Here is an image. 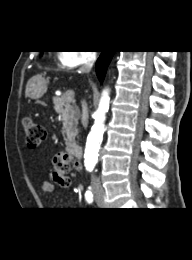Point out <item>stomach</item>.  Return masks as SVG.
Wrapping results in <instances>:
<instances>
[{
    "label": "stomach",
    "mask_w": 192,
    "mask_h": 260,
    "mask_svg": "<svg viewBox=\"0 0 192 260\" xmlns=\"http://www.w3.org/2000/svg\"><path fill=\"white\" fill-rule=\"evenodd\" d=\"M26 89L28 97L39 99L47 90V81L41 76H35L29 80Z\"/></svg>",
    "instance_id": "0dacf381"
}]
</instances>
